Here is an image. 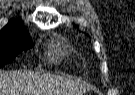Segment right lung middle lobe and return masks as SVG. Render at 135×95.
I'll return each instance as SVG.
<instances>
[{
	"label": "right lung middle lobe",
	"mask_w": 135,
	"mask_h": 95,
	"mask_svg": "<svg viewBox=\"0 0 135 95\" xmlns=\"http://www.w3.org/2000/svg\"><path fill=\"white\" fill-rule=\"evenodd\" d=\"M32 46V40L25 32L0 36V67L11 63L19 53Z\"/></svg>",
	"instance_id": "right-lung-middle-lobe-1"
}]
</instances>
